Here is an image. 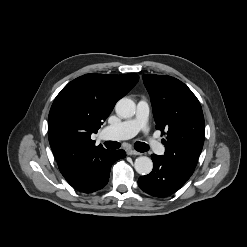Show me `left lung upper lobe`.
Instances as JSON below:
<instances>
[{
	"label": "left lung upper lobe",
	"mask_w": 247,
	"mask_h": 247,
	"mask_svg": "<svg viewBox=\"0 0 247 247\" xmlns=\"http://www.w3.org/2000/svg\"><path fill=\"white\" fill-rule=\"evenodd\" d=\"M151 97L156 129L167 135L163 156L193 172L204 143V116L192 91L165 75H143Z\"/></svg>",
	"instance_id": "left-lung-upper-lobe-1"
}]
</instances>
